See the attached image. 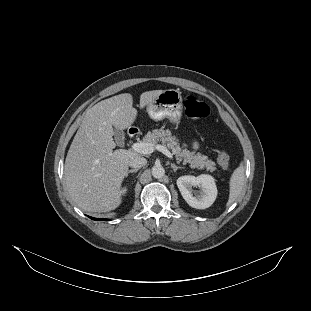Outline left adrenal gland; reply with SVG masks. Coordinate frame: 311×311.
Masks as SVG:
<instances>
[{"mask_svg": "<svg viewBox=\"0 0 311 311\" xmlns=\"http://www.w3.org/2000/svg\"><path fill=\"white\" fill-rule=\"evenodd\" d=\"M171 167L173 169L174 172H176L178 169H183L184 167L181 166H176L175 164L171 163Z\"/></svg>", "mask_w": 311, "mask_h": 311, "instance_id": "obj_1", "label": "left adrenal gland"}]
</instances>
